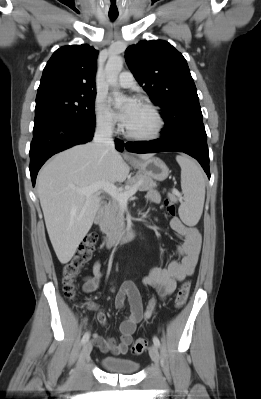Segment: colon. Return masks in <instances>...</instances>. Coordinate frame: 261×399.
I'll return each instance as SVG.
<instances>
[{
	"instance_id": "1",
	"label": "colon",
	"mask_w": 261,
	"mask_h": 399,
	"mask_svg": "<svg viewBox=\"0 0 261 399\" xmlns=\"http://www.w3.org/2000/svg\"><path fill=\"white\" fill-rule=\"evenodd\" d=\"M167 213L174 216L176 213V208L174 203L167 199L164 203ZM98 242V235L95 233L87 234L80 247L76 251L74 257L67 262L62 271V284L64 295L69 300H75L77 297V287L76 278L81 271V269L91 260L94 250ZM190 291V282H184L179 288L175 297V307L180 309L186 303L188 294ZM148 342L145 339H137L132 344V352L134 354H141L147 348Z\"/></svg>"
}]
</instances>
